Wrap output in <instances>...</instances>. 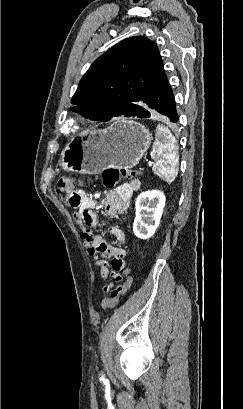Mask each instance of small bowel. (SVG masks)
I'll list each match as a JSON object with an SVG mask.
<instances>
[{
    "mask_svg": "<svg viewBox=\"0 0 243 409\" xmlns=\"http://www.w3.org/2000/svg\"><path fill=\"white\" fill-rule=\"evenodd\" d=\"M139 188L140 181L135 179L120 185L114 191L107 192L101 197L89 195L84 190L77 191L80 202L75 207L77 211L73 213V219L79 226L87 253L99 268L101 277L104 279L111 278L102 288L104 293H108L115 282L122 280L121 271L125 267L126 252L121 247L107 244L102 236L94 233L92 228L102 226L95 207L100 203L106 214L115 216L127 209L134 192ZM108 230L119 243H125L126 236L117 225L109 226Z\"/></svg>",
    "mask_w": 243,
    "mask_h": 409,
    "instance_id": "small-bowel-1",
    "label": "small bowel"
}]
</instances>
